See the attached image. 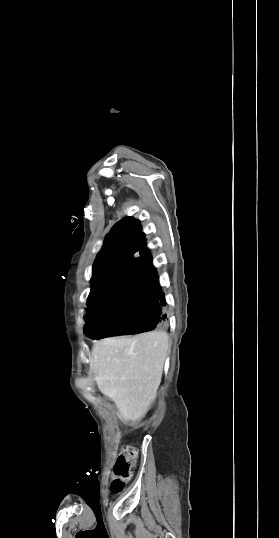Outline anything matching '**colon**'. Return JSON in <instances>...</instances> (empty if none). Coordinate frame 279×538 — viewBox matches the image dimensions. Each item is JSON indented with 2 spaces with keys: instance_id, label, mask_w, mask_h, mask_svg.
Instances as JSON below:
<instances>
[{
  "instance_id": "colon-1",
  "label": "colon",
  "mask_w": 279,
  "mask_h": 538,
  "mask_svg": "<svg viewBox=\"0 0 279 538\" xmlns=\"http://www.w3.org/2000/svg\"><path fill=\"white\" fill-rule=\"evenodd\" d=\"M136 457L137 450L135 447L127 446L122 449L113 467L110 485L112 493L117 494L123 490L125 483L131 478Z\"/></svg>"
}]
</instances>
